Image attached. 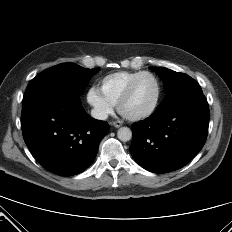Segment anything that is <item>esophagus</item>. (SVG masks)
<instances>
[{
    "label": "esophagus",
    "mask_w": 232,
    "mask_h": 232,
    "mask_svg": "<svg viewBox=\"0 0 232 232\" xmlns=\"http://www.w3.org/2000/svg\"><path fill=\"white\" fill-rule=\"evenodd\" d=\"M112 125H113L114 127H116V128H119L120 126H122V123L119 122V121H114V122H112Z\"/></svg>",
    "instance_id": "1"
}]
</instances>
